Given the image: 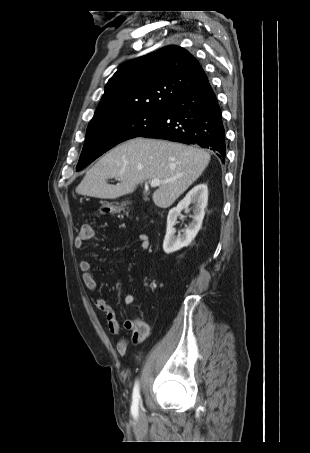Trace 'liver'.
<instances>
[{
    "instance_id": "6515ba94",
    "label": "liver",
    "mask_w": 310,
    "mask_h": 453,
    "mask_svg": "<svg viewBox=\"0 0 310 453\" xmlns=\"http://www.w3.org/2000/svg\"><path fill=\"white\" fill-rule=\"evenodd\" d=\"M210 161L205 150L165 140L137 137L106 153L86 172L76 193L101 199H116L131 194L145 180L159 178L162 183L152 199L160 208L170 207L202 174ZM121 182L110 185L107 180Z\"/></svg>"
}]
</instances>
